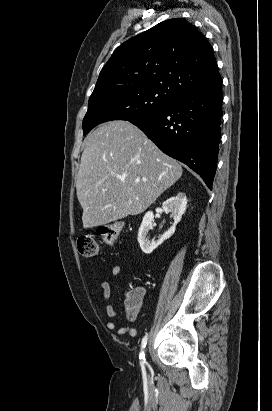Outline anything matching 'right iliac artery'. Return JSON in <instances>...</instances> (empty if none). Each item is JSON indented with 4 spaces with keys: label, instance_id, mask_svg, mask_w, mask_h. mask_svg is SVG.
I'll list each match as a JSON object with an SVG mask.
<instances>
[{
    "label": "right iliac artery",
    "instance_id": "right-iliac-artery-1",
    "mask_svg": "<svg viewBox=\"0 0 272 411\" xmlns=\"http://www.w3.org/2000/svg\"><path fill=\"white\" fill-rule=\"evenodd\" d=\"M147 340H148V335L146 334V335L143 337V339H142V342H141V352H140V355H139L140 365H141L142 370L145 369V354H144V351H143V350H144V348L146 347Z\"/></svg>",
    "mask_w": 272,
    "mask_h": 411
}]
</instances>
